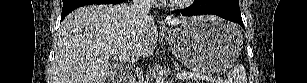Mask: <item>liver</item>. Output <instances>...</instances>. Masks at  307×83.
<instances>
[{
    "mask_svg": "<svg viewBox=\"0 0 307 83\" xmlns=\"http://www.w3.org/2000/svg\"><path fill=\"white\" fill-rule=\"evenodd\" d=\"M198 17L166 22L178 25ZM157 38L154 20L138 18L130 5L82 6L67 15L59 28L53 83H105L118 63L151 56ZM108 50L116 52L107 55Z\"/></svg>",
    "mask_w": 307,
    "mask_h": 83,
    "instance_id": "6515ba94",
    "label": "liver"
}]
</instances>
